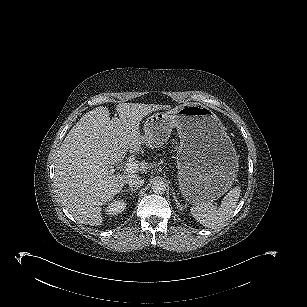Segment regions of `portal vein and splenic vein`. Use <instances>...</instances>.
Returning <instances> with one entry per match:
<instances>
[{"mask_svg":"<svg viewBox=\"0 0 307 307\" xmlns=\"http://www.w3.org/2000/svg\"><path fill=\"white\" fill-rule=\"evenodd\" d=\"M138 164H136L135 162H128L125 164V171L127 172H136L138 170Z\"/></svg>","mask_w":307,"mask_h":307,"instance_id":"1","label":"portal vein and splenic vein"}]
</instances>
